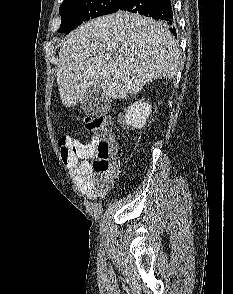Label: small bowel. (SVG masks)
<instances>
[{
	"instance_id": "small-bowel-1",
	"label": "small bowel",
	"mask_w": 233,
	"mask_h": 294,
	"mask_svg": "<svg viewBox=\"0 0 233 294\" xmlns=\"http://www.w3.org/2000/svg\"><path fill=\"white\" fill-rule=\"evenodd\" d=\"M59 146L61 149L64 147L67 149V157L63 161L77 177L83 179L82 185L86 194L90 198L104 196L108 182L97 180L88 161L93 142L83 144L77 139L66 136L60 138Z\"/></svg>"
}]
</instances>
